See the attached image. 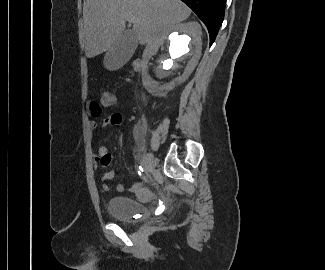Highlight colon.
<instances>
[{"label": "colon", "instance_id": "obj_1", "mask_svg": "<svg viewBox=\"0 0 325 270\" xmlns=\"http://www.w3.org/2000/svg\"><path fill=\"white\" fill-rule=\"evenodd\" d=\"M100 102L104 107H111L115 103V96L111 92H104L101 96Z\"/></svg>", "mask_w": 325, "mask_h": 270}]
</instances>
